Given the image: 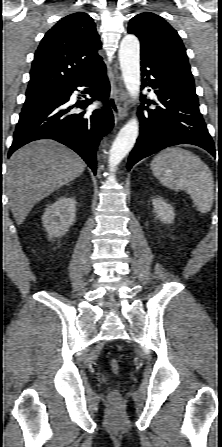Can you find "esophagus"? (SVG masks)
I'll list each match as a JSON object with an SVG mask.
<instances>
[{
    "mask_svg": "<svg viewBox=\"0 0 222 447\" xmlns=\"http://www.w3.org/2000/svg\"><path fill=\"white\" fill-rule=\"evenodd\" d=\"M123 89L117 85L112 86L109 104L114 114L115 122L123 119L127 116L128 106L127 102L123 99Z\"/></svg>",
    "mask_w": 222,
    "mask_h": 447,
    "instance_id": "obj_1",
    "label": "esophagus"
}]
</instances>
